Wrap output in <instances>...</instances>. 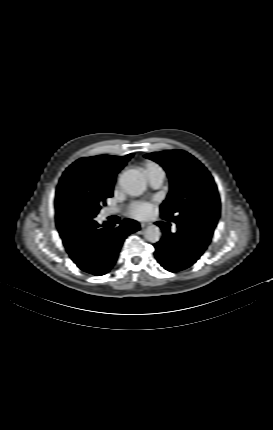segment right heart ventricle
<instances>
[{
    "label": "right heart ventricle",
    "instance_id": "e07e8e85",
    "mask_svg": "<svg viewBox=\"0 0 273 430\" xmlns=\"http://www.w3.org/2000/svg\"><path fill=\"white\" fill-rule=\"evenodd\" d=\"M161 167L154 163V162H146L144 164V172L145 174L148 176L151 172L155 171V170H160Z\"/></svg>",
    "mask_w": 273,
    "mask_h": 430
}]
</instances>
